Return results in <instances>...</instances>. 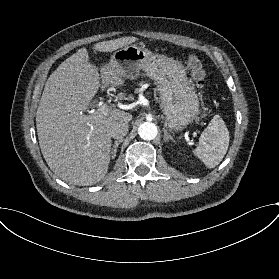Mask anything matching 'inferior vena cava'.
<instances>
[{
	"label": "inferior vena cava",
	"mask_w": 279,
	"mask_h": 279,
	"mask_svg": "<svg viewBox=\"0 0 279 279\" xmlns=\"http://www.w3.org/2000/svg\"><path fill=\"white\" fill-rule=\"evenodd\" d=\"M128 133V124L127 123H117L116 125H113L109 131L108 134L113 139H123Z\"/></svg>",
	"instance_id": "1"
}]
</instances>
